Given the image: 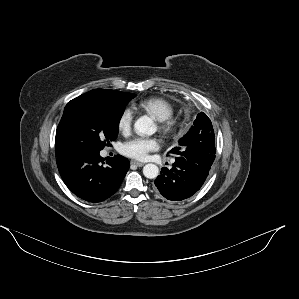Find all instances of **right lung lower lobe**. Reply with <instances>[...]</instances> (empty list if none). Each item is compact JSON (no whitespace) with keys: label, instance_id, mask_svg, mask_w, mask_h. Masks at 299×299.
Here are the masks:
<instances>
[{"label":"right lung lower lobe","instance_id":"right-lung-lower-lobe-1","mask_svg":"<svg viewBox=\"0 0 299 299\" xmlns=\"http://www.w3.org/2000/svg\"><path fill=\"white\" fill-rule=\"evenodd\" d=\"M57 166L75 195L89 202H101L118 190L129 161L120 155L105 161L99 151H82L57 159Z\"/></svg>","mask_w":299,"mask_h":299}]
</instances>
